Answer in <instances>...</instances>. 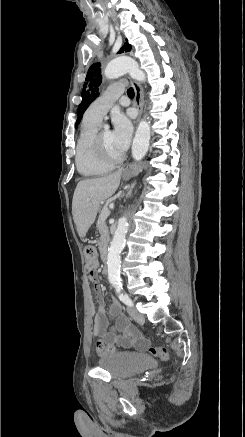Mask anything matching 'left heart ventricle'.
Instances as JSON below:
<instances>
[{
    "label": "left heart ventricle",
    "mask_w": 245,
    "mask_h": 437,
    "mask_svg": "<svg viewBox=\"0 0 245 437\" xmlns=\"http://www.w3.org/2000/svg\"><path fill=\"white\" fill-rule=\"evenodd\" d=\"M101 138H102V142H103V145H104L106 151L110 155H112L114 157L121 155V152L119 150H117V148L114 145L113 136H112L111 131L103 130L101 132Z\"/></svg>",
    "instance_id": "1"
}]
</instances>
